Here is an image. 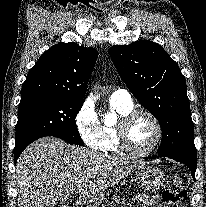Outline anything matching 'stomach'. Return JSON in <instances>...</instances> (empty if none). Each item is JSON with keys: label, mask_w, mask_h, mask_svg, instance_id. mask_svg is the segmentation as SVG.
Listing matches in <instances>:
<instances>
[{"label": "stomach", "mask_w": 206, "mask_h": 207, "mask_svg": "<svg viewBox=\"0 0 206 207\" xmlns=\"http://www.w3.org/2000/svg\"><path fill=\"white\" fill-rule=\"evenodd\" d=\"M135 177L137 185L150 192L158 190L165 181V174L160 168L145 162L136 168Z\"/></svg>", "instance_id": "obj_1"}]
</instances>
